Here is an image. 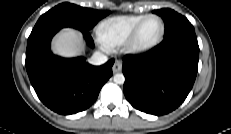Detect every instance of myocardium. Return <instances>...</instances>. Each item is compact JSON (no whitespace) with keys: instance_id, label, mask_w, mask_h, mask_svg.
<instances>
[{"instance_id":"myocardium-1","label":"myocardium","mask_w":231,"mask_h":134,"mask_svg":"<svg viewBox=\"0 0 231 134\" xmlns=\"http://www.w3.org/2000/svg\"><path fill=\"white\" fill-rule=\"evenodd\" d=\"M152 18H156L160 21V23H161L160 34L151 43L140 44L139 36H140L141 30H142L143 26L145 25V23ZM164 34H165V22H164V20L159 15H156V14L146 15L133 29L131 35L129 36V38L125 42L124 50L130 54H143V53L149 52L150 50L155 48L161 42Z\"/></svg>"}]
</instances>
